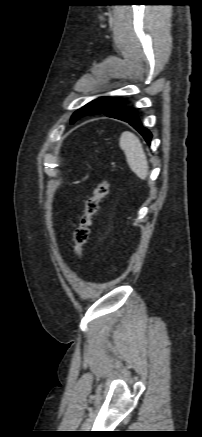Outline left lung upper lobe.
I'll return each instance as SVG.
<instances>
[{
    "mask_svg": "<svg viewBox=\"0 0 202 437\" xmlns=\"http://www.w3.org/2000/svg\"><path fill=\"white\" fill-rule=\"evenodd\" d=\"M123 105V103L112 97H99L77 110L71 117V123H74L83 116L107 114Z\"/></svg>",
    "mask_w": 202,
    "mask_h": 437,
    "instance_id": "1",
    "label": "left lung upper lobe"
}]
</instances>
